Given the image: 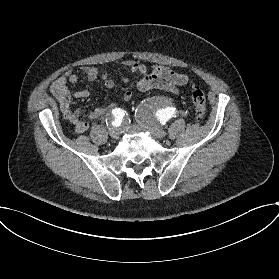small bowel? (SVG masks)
<instances>
[{
  "label": "small bowel",
  "instance_id": "1",
  "mask_svg": "<svg viewBox=\"0 0 279 279\" xmlns=\"http://www.w3.org/2000/svg\"><path fill=\"white\" fill-rule=\"evenodd\" d=\"M122 65L131 72L138 73L140 75L138 88L144 92L151 90H164L170 93H176L177 87L184 86L189 81L188 75L174 72L165 66L156 65L149 67L135 60L123 61ZM81 70L89 81H94L100 77L106 88L111 89L114 87V81L112 80L109 72L103 71L100 74L96 68L90 66H84ZM77 82V74L72 70H68L53 82L50 91L58 101L63 117L72 124L76 133L82 134L89 128L88 121L101 117L106 112V109H93L88 112L86 117H82L80 110L73 109L71 105L72 96L68 89V84H75ZM122 82L127 84L129 79L123 77ZM89 95V91L81 90L75 92L73 97L87 98ZM131 99L132 92L129 90L124 91L123 100L125 102H130ZM112 106L115 105L113 104Z\"/></svg>",
  "mask_w": 279,
  "mask_h": 279
}]
</instances>
